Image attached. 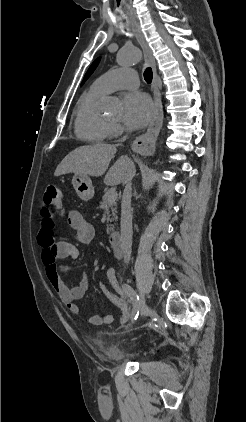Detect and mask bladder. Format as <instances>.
I'll list each match as a JSON object with an SVG mask.
<instances>
[{"instance_id":"1","label":"bladder","mask_w":246,"mask_h":422,"mask_svg":"<svg viewBox=\"0 0 246 422\" xmlns=\"http://www.w3.org/2000/svg\"><path fill=\"white\" fill-rule=\"evenodd\" d=\"M105 352L107 353V355H109V357L112 358L120 354L122 351L115 346H109L105 348Z\"/></svg>"}]
</instances>
